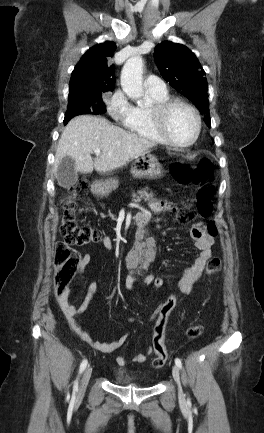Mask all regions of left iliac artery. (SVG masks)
<instances>
[{
  "mask_svg": "<svg viewBox=\"0 0 264 433\" xmlns=\"http://www.w3.org/2000/svg\"><path fill=\"white\" fill-rule=\"evenodd\" d=\"M175 363L179 368H182V362L179 358L175 359ZM188 403H190V400L188 399Z\"/></svg>",
  "mask_w": 264,
  "mask_h": 433,
  "instance_id": "obj_1",
  "label": "left iliac artery"
}]
</instances>
